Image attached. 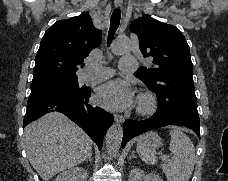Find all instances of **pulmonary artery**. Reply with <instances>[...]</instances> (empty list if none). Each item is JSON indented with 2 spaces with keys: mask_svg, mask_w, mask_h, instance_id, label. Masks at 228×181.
Masks as SVG:
<instances>
[{
  "mask_svg": "<svg viewBox=\"0 0 228 181\" xmlns=\"http://www.w3.org/2000/svg\"><path fill=\"white\" fill-rule=\"evenodd\" d=\"M120 67L121 71H133V64L135 62V57H120ZM112 69L103 68V74H90V77H86V81H91L92 79H113Z\"/></svg>",
  "mask_w": 228,
  "mask_h": 181,
  "instance_id": "pulmonary-artery-1",
  "label": "pulmonary artery"
}]
</instances>
